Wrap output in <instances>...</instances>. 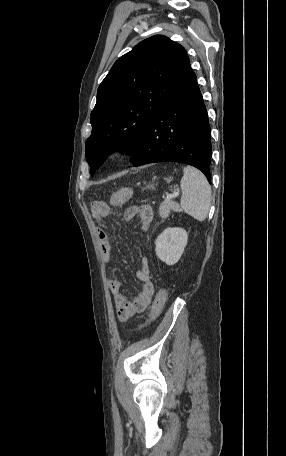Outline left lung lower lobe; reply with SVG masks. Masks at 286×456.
<instances>
[{"instance_id": "1", "label": "left lung lower lobe", "mask_w": 286, "mask_h": 456, "mask_svg": "<svg viewBox=\"0 0 286 456\" xmlns=\"http://www.w3.org/2000/svg\"><path fill=\"white\" fill-rule=\"evenodd\" d=\"M133 166L179 162L211 181V134L197 78L190 68L155 114L133 150Z\"/></svg>"}]
</instances>
